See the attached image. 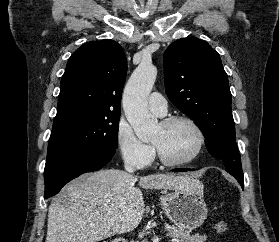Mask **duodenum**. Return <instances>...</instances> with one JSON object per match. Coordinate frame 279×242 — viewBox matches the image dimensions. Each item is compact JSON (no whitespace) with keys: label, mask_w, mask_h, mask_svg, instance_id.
I'll return each mask as SVG.
<instances>
[{"label":"duodenum","mask_w":279,"mask_h":242,"mask_svg":"<svg viewBox=\"0 0 279 242\" xmlns=\"http://www.w3.org/2000/svg\"><path fill=\"white\" fill-rule=\"evenodd\" d=\"M113 242H126L123 238H117Z\"/></svg>","instance_id":"410a0bca"}]
</instances>
